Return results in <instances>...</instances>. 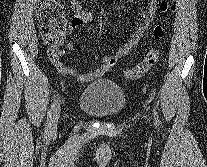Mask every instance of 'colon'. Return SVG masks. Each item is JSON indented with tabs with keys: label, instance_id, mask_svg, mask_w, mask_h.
Instances as JSON below:
<instances>
[{
	"label": "colon",
	"instance_id": "colon-1",
	"mask_svg": "<svg viewBox=\"0 0 207 167\" xmlns=\"http://www.w3.org/2000/svg\"><path fill=\"white\" fill-rule=\"evenodd\" d=\"M161 9L164 12H174L175 5L169 0H162ZM38 17L41 34L45 42L49 46L58 45L67 25L62 0H41ZM153 35L156 40L161 41L166 35V27L162 24L156 26ZM159 57V48L155 47L148 50L140 62L132 68L123 70L122 76L128 80L144 77L156 65Z\"/></svg>",
	"mask_w": 207,
	"mask_h": 167
}]
</instances>
